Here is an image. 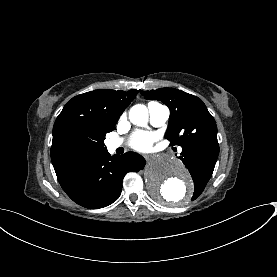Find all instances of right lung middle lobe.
Returning a JSON list of instances; mask_svg holds the SVG:
<instances>
[{
    "instance_id": "right-lung-middle-lobe-1",
    "label": "right lung middle lobe",
    "mask_w": 277,
    "mask_h": 277,
    "mask_svg": "<svg viewBox=\"0 0 277 277\" xmlns=\"http://www.w3.org/2000/svg\"><path fill=\"white\" fill-rule=\"evenodd\" d=\"M104 140L100 144H91L89 142H81L74 148V158L78 161L89 158L97 153L107 150L104 146Z\"/></svg>"
}]
</instances>
